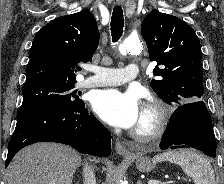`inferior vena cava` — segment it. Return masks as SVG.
<instances>
[{
    "label": "inferior vena cava",
    "instance_id": "obj_1",
    "mask_svg": "<svg viewBox=\"0 0 224 184\" xmlns=\"http://www.w3.org/2000/svg\"><path fill=\"white\" fill-rule=\"evenodd\" d=\"M84 184H96L94 169L87 163L83 169Z\"/></svg>",
    "mask_w": 224,
    "mask_h": 184
}]
</instances>
